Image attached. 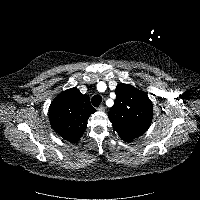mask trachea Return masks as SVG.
<instances>
[{"label":"trachea","mask_w":200,"mask_h":200,"mask_svg":"<svg viewBox=\"0 0 200 200\" xmlns=\"http://www.w3.org/2000/svg\"><path fill=\"white\" fill-rule=\"evenodd\" d=\"M91 102H92V105L94 107H98L101 104V102H102V97L100 95H94L92 97Z\"/></svg>","instance_id":"1"}]
</instances>
